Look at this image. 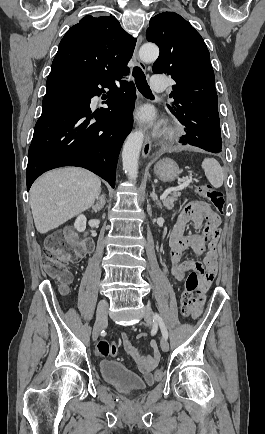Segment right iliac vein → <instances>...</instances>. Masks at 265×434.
Listing matches in <instances>:
<instances>
[{
    "label": "right iliac vein",
    "instance_id": "obj_1",
    "mask_svg": "<svg viewBox=\"0 0 265 434\" xmlns=\"http://www.w3.org/2000/svg\"><path fill=\"white\" fill-rule=\"evenodd\" d=\"M107 310H108L107 301L101 300L98 304V307H97V317H96V321H95L93 332H92V338L94 341H96L98 339V336H99L101 330L108 323Z\"/></svg>",
    "mask_w": 265,
    "mask_h": 434
}]
</instances>
